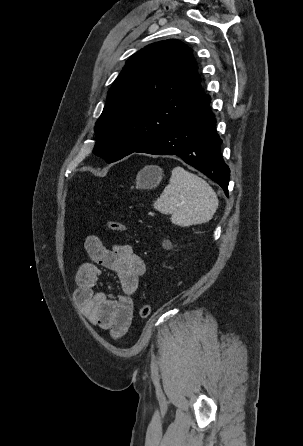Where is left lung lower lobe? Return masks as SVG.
<instances>
[{
  "label": "left lung lower lobe",
  "instance_id": "obj_1",
  "mask_svg": "<svg viewBox=\"0 0 303 446\" xmlns=\"http://www.w3.org/2000/svg\"><path fill=\"white\" fill-rule=\"evenodd\" d=\"M210 99L203 93L168 133L135 152L177 155L219 184L228 196L230 169L221 155L222 140L216 132Z\"/></svg>",
  "mask_w": 303,
  "mask_h": 446
}]
</instances>
